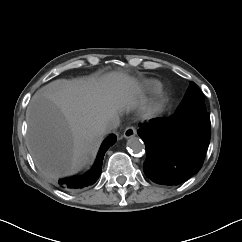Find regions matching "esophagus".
<instances>
[{
	"mask_svg": "<svg viewBox=\"0 0 242 242\" xmlns=\"http://www.w3.org/2000/svg\"><path fill=\"white\" fill-rule=\"evenodd\" d=\"M136 134V129L133 126L127 127L123 133V136L125 138H131L135 136Z\"/></svg>",
	"mask_w": 242,
	"mask_h": 242,
	"instance_id": "obj_1",
	"label": "esophagus"
}]
</instances>
